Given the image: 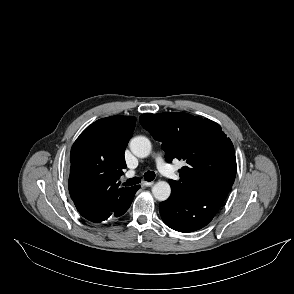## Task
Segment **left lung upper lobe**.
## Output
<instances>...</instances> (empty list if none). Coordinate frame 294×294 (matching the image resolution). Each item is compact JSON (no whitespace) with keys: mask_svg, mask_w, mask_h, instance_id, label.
<instances>
[{"mask_svg":"<svg viewBox=\"0 0 294 294\" xmlns=\"http://www.w3.org/2000/svg\"><path fill=\"white\" fill-rule=\"evenodd\" d=\"M141 125L162 142L166 161L185 160L180 180H170L176 190L190 194L227 195L237 171L234 147L221 126L187 113L142 114Z\"/></svg>","mask_w":294,"mask_h":294,"instance_id":"obj_1","label":"left lung upper lobe"}]
</instances>
